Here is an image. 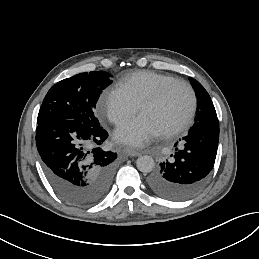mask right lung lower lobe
Listing matches in <instances>:
<instances>
[{"instance_id": "1", "label": "right lung lower lobe", "mask_w": 259, "mask_h": 259, "mask_svg": "<svg viewBox=\"0 0 259 259\" xmlns=\"http://www.w3.org/2000/svg\"><path fill=\"white\" fill-rule=\"evenodd\" d=\"M108 133L100 125L57 119L38 125L36 146L55 192L71 205L85 207L109 191L117 153L102 149Z\"/></svg>"}]
</instances>
